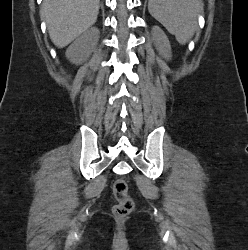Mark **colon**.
<instances>
[{"label":"colon","mask_w":248,"mask_h":250,"mask_svg":"<svg viewBox=\"0 0 248 250\" xmlns=\"http://www.w3.org/2000/svg\"><path fill=\"white\" fill-rule=\"evenodd\" d=\"M113 195L116 199L113 215L118 219L127 217L133 210L134 202L129 195L128 185L125 180L117 179L113 183Z\"/></svg>","instance_id":"obj_1"}]
</instances>
